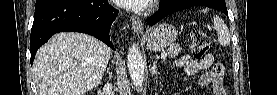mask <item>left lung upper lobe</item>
Returning a JSON list of instances; mask_svg holds the SVG:
<instances>
[{
  "label": "left lung upper lobe",
  "instance_id": "left-lung-upper-lobe-1",
  "mask_svg": "<svg viewBox=\"0 0 277 95\" xmlns=\"http://www.w3.org/2000/svg\"><path fill=\"white\" fill-rule=\"evenodd\" d=\"M168 1H170V0H163L162 3L168 2ZM216 1L217 0H210V2L208 4L202 3V5L208 6L210 8L219 9L220 8V4L218 5Z\"/></svg>",
  "mask_w": 277,
  "mask_h": 95
}]
</instances>
